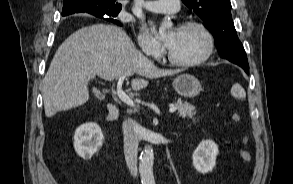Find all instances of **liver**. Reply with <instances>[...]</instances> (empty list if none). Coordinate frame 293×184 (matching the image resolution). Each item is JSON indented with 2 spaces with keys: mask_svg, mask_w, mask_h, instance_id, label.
Listing matches in <instances>:
<instances>
[{
  "mask_svg": "<svg viewBox=\"0 0 293 184\" xmlns=\"http://www.w3.org/2000/svg\"><path fill=\"white\" fill-rule=\"evenodd\" d=\"M180 71L157 68L117 26L94 24L83 27L60 45L43 79L45 115L49 118L86 103L89 99L88 83L96 75L113 81L134 73L154 79ZM131 85L137 91L145 88L148 81L134 79Z\"/></svg>",
  "mask_w": 293,
  "mask_h": 184,
  "instance_id": "obj_1",
  "label": "liver"
}]
</instances>
